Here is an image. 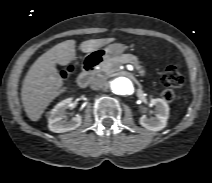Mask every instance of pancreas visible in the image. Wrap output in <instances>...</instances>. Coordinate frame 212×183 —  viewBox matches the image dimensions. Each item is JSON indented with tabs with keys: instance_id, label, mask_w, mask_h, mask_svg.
Segmentation results:
<instances>
[{
	"instance_id": "obj_1",
	"label": "pancreas",
	"mask_w": 212,
	"mask_h": 183,
	"mask_svg": "<svg viewBox=\"0 0 212 183\" xmlns=\"http://www.w3.org/2000/svg\"><path fill=\"white\" fill-rule=\"evenodd\" d=\"M125 63L133 64L141 76H144L146 74L145 69L140 65L138 57L132 54H122L105 59L100 64V69L96 73L111 74L118 71L119 66Z\"/></svg>"
}]
</instances>
